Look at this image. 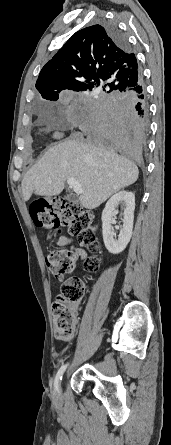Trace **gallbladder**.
Wrapping results in <instances>:
<instances>
[{"instance_id": "gallbladder-1", "label": "gallbladder", "mask_w": 171, "mask_h": 445, "mask_svg": "<svg viewBox=\"0 0 171 445\" xmlns=\"http://www.w3.org/2000/svg\"><path fill=\"white\" fill-rule=\"evenodd\" d=\"M66 199L70 200V197H69V196H67V197H66Z\"/></svg>"}]
</instances>
